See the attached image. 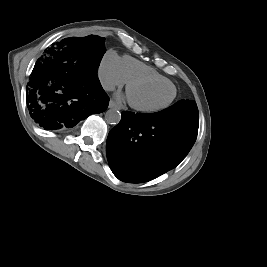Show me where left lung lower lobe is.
I'll list each match as a JSON object with an SVG mask.
<instances>
[{
  "instance_id": "left-lung-lower-lobe-1",
  "label": "left lung lower lobe",
  "mask_w": 267,
  "mask_h": 267,
  "mask_svg": "<svg viewBox=\"0 0 267 267\" xmlns=\"http://www.w3.org/2000/svg\"><path fill=\"white\" fill-rule=\"evenodd\" d=\"M199 116L186 111L122 112L109 132L106 153L114 175L142 183L176 167L192 148Z\"/></svg>"
}]
</instances>
